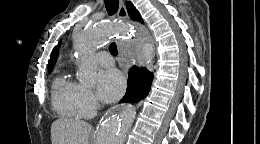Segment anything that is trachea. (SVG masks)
<instances>
[{"mask_svg": "<svg viewBox=\"0 0 260 144\" xmlns=\"http://www.w3.org/2000/svg\"><path fill=\"white\" fill-rule=\"evenodd\" d=\"M105 2V7L109 15H114L119 8V3L118 0H104ZM109 51L113 56H116L118 54L116 43L113 42L109 46Z\"/></svg>", "mask_w": 260, "mask_h": 144, "instance_id": "1", "label": "trachea"}]
</instances>
